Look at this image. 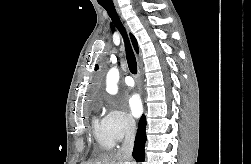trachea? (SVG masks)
<instances>
[{
  "label": "trachea",
  "mask_w": 251,
  "mask_h": 164,
  "mask_svg": "<svg viewBox=\"0 0 251 164\" xmlns=\"http://www.w3.org/2000/svg\"><path fill=\"white\" fill-rule=\"evenodd\" d=\"M100 5L108 12L113 23L115 24L117 29L122 34L124 42H125V47H126V56H127V63H128L129 70L131 73L136 74L137 73L136 58H135V55H134L133 50L131 48L126 30H125L123 24L121 23L117 13H116L113 2L111 1V2H107V3H102Z\"/></svg>",
  "instance_id": "3493384b"
}]
</instances>
